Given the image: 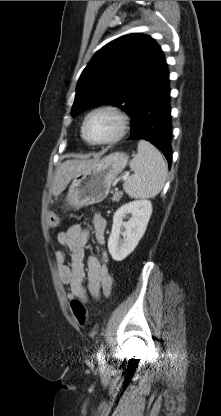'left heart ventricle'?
I'll list each match as a JSON object with an SVG mask.
<instances>
[{
  "instance_id": "left-heart-ventricle-1",
  "label": "left heart ventricle",
  "mask_w": 221,
  "mask_h": 416,
  "mask_svg": "<svg viewBox=\"0 0 221 416\" xmlns=\"http://www.w3.org/2000/svg\"><path fill=\"white\" fill-rule=\"evenodd\" d=\"M118 127L117 119L109 113H98L92 116L87 124V134L96 140L112 136Z\"/></svg>"
}]
</instances>
